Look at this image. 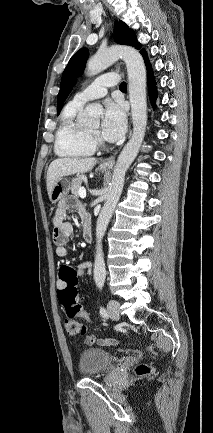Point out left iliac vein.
<instances>
[{
	"label": "left iliac vein",
	"instance_id": "left-iliac-vein-1",
	"mask_svg": "<svg viewBox=\"0 0 213 433\" xmlns=\"http://www.w3.org/2000/svg\"><path fill=\"white\" fill-rule=\"evenodd\" d=\"M109 317L118 320L120 318L119 303L116 300H110L107 305Z\"/></svg>",
	"mask_w": 213,
	"mask_h": 433
}]
</instances>
